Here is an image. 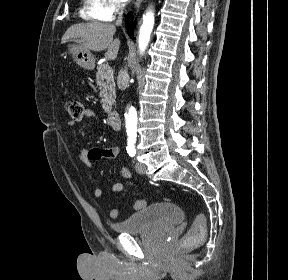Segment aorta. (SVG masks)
<instances>
[{"instance_id":"aorta-1","label":"aorta","mask_w":288,"mask_h":280,"mask_svg":"<svg viewBox=\"0 0 288 280\" xmlns=\"http://www.w3.org/2000/svg\"><path fill=\"white\" fill-rule=\"evenodd\" d=\"M154 27V13L148 11L143 17V23L139 31V50L140 53H143L150 41V36ZM125 111H123L124 120H133V121H123V126H126L125 136L127 140H136L138 136L136 121L138 120V111H136V106H125Z\"/></svg>"}]
</instances>
